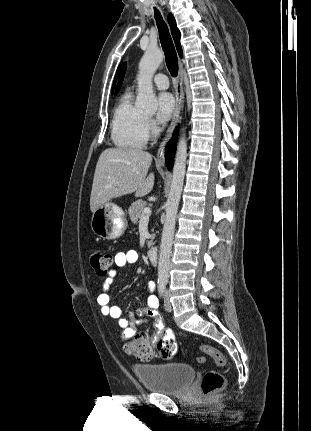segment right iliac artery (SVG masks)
<instances>
[{"label": "right iliac artery", "instance_id": "1", "mask_svg": "<svg viewBox=\"0 0 311 431\" xmlns=\"http://www.w3.org/2000/svg\"><path fill=\"white\" fill-rule=\"evenodd\" d=\"M165 283H159L158 284V291L160 296H163L164 292H165Z\"/></svg>", "mask_w": 311, "mask_h": 431}]
</instances>
